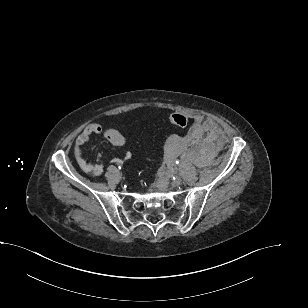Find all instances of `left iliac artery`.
<instances>
[{
	"instance_id": "left-iliac-artery-1",
	"label": "left iliac artery",
	"mask_w": 308,
	"mask_h": 308,
	"mask_svg": "<svg viewBox=\"0 0 308 308\" xmlns=\"http://www.w3.org/2000/svg\"><path fill=\"white\" fill-rule=\"evenodd\" d=\"M176 164H179V161H176Z\"/></svg>"
}]
</instances>
